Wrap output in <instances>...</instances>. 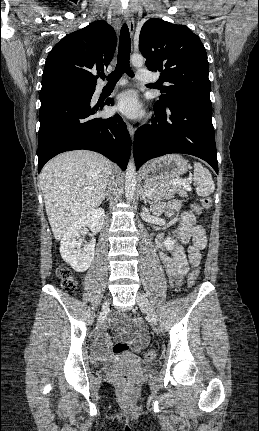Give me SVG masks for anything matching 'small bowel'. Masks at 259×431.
I'll use <instances>...</instances> for the list:
<instances>
[{
	"label": "small bowel",
	"mask_w": 259,
	"mask_h": 431,
	"mask_svg": "<svg viewBox=\"0 0 259 431\" xmlns=\"http://www.w3.org/2000/svg\"><path fill=\"white\" fill-rule=\"evenodd\" d=\"M170 207L178 209L179 202H171ZM195 221L194 212L186 211L181 214L179 228L175 234L180 244L176 245L171 253L166 251L164 235L160 233L157 237L160 259L168 276L176 284L187 274L190 266H197L200 263L201 250L206 246L205 230L203 227L196 225ZM188 242H191V245L185 251L181 244ZM109 327L114 328L117 333V339L129 344L134 353H139L147 344L148 333L141 318L127 316H124V319L116 318L101 325L93 337L98 357L108 356V348L112 340L105 333V330Z\"/></svg>",
	"instance_id": "1"
}]
</instances>
